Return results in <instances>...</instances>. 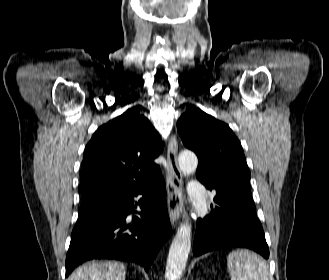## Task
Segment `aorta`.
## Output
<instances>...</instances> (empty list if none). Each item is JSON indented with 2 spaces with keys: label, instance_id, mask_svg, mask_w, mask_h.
Returning a JSON list of instances; mask_svg holds the SVG:
<instances>
[{
  "label": "aorta",
  "instance_id": "762f6f07",
  "mask_svg": "<svg viewBox=\"0 0 329 280\" xmlns=\"http://www.w3.org/2000/svg\"><path fill=\"white\" fill-rule=\"evenodd\" d=\"M179 168L184 174L196 171L198 159L193 152L183 151L178 157ZM191 249V225L182 223L172 241L169 249L165 278L167 280H180L186 267Z\"/></svg>",
  "mask_w": 329,
  "mask_h": 280
}]
</instances>
